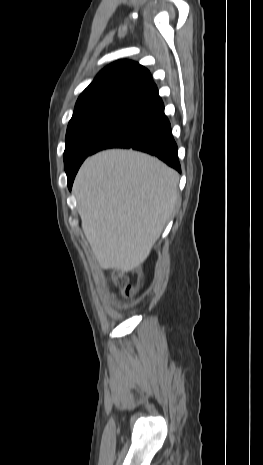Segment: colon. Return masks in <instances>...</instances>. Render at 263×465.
<instances>
[{
  "label": "colon",
  "instance_id": "1",
  "mask_svg": "<svg viewBox=\"0 0 263 465\" xmlns=\"http://www.w3.org/2000/svg\"><path fill=\"white\" fill-rule=\"evenodd\" d=\"M112 280H113L114 284L119 286V288L121 290V293L123 295L129 296L132 293L133 288L129 284L128 279L126 278V276L124 274H122L120 272H116V273L113 274Z\"/></svg>",
  "mask_w": 263,
  "mask_h": 465
}]
</instances>
